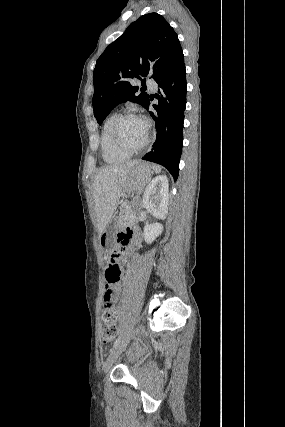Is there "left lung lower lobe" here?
Here are the masks:
<instances>
[{
  "label": "left lung lower lobe",
  "mask_w": 285,
  "mask_h": 427,
  "mask_svg": "<svg viewBox=\"0 0 285 427\" xmlns=\"http://www.w3.org/2000/svg\"><path fill=\"white\" fill-rule=\"evenodd\" d=\"M160 99L154 108L158 112L151 116L156 123L157 137L153 148L143 160L164 166L177 180L183 146V123L186 106V71L183 52H179L169 69L156 80ZM150 101L146 107L149 108Z\"/></svg>",
  "instance_id": "0a47b994"
}]
</instances>
